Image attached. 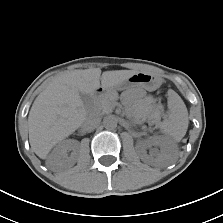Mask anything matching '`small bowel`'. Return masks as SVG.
<instances>
[{
    "mask_svg": "<svg viewBox=\"0 0 223 223\" xmlns=\"http://www.w3.org/2000/svg\"><path fill=\"white\" fill-rule=\"evenodd\" d=\"M154 103H155V100L152 96H148L145 98V104L148 106V107H153V110H152V117L154 119H157L158 116H159V107L157 106H154Z\"/></svg>",
    "mask_w": 223,
    "mask_h": 223,
    "instance_id": "obj_1",
    "label": "small bowel"
}]
</instances>
